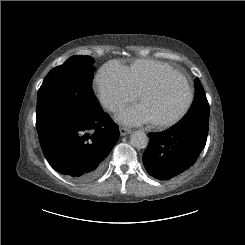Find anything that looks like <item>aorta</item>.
I'll use <instances>...</instances> for the list:
<instances>
[{"label": "aorta", "mask_w": 245, "mask_h": 245, "mask_svg": "<svg viewBox=\"0 0 245 245\" xmlns=\"http://www.w3.org/2000/svg\"><path fill=\"white\" fill-rule=\"evenodd\" d=\"M131 145L135 148L142 149L148 145L149 139L143 131H135L130 136Z\"/></svg>", "instance_id": "obj_1"}]
</instances>
